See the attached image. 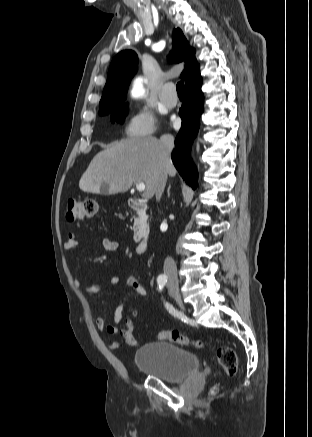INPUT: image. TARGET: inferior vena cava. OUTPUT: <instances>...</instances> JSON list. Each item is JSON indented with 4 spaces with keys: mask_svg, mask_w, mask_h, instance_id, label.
I'll return each instance as SVG.
<instances>
[{
    "mask_svg": "<svg viewBox=\"0 0 312 437\" xmlns=\"http://www.w3.org/2000/svg\"><path fill=\"white\" fill-rule=\"evenodd\" d=\"M160 142H161V152H162V156L164 158H169L170 154L174 148V138L171 135H163L160 137ZM166 181H167V175L165 174H161L159 179H158V183H157V187H156V199L160 200L165 185H166ZM164 271L168 274H176L177 273V268H176V263L175 261L171 258V257H167L164 261Z\"/></svg>",
    "mask_w": 312,
    "mask_h": 437,
    "instance_id": "602c4592",
    "label": "inferior vena cava"
}]
</instances>
